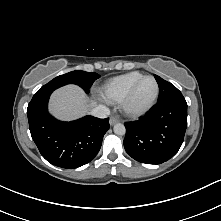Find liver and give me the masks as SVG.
Here are the masks:
<instances>
[{"label": "liver", "mask_w": 221, "mask_h": 221, "mask_svg": "<svg viewBox=\"0 0 221 221\" xmlns=\"http://www.w3.org/2000/svg\"><path fill=\"white\" fill-rule=\"evenodd\" d=\"M94 106L95 103L87 99L81 88L67 85L52 94L49 111L56 118L69 121L80 117Z\"/></svg>", "instance_id": "obj_1"}]
</instances>
